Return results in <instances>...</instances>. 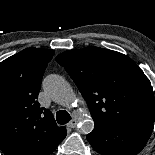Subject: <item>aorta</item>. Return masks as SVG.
I'll use <instances>...</instances> for the list:
<instances>
[{
  "label": "aorta",
  "mask_w": 155,
  "mask_h": 155,
  "mask_svg": "<svg viewBox=\"0 0 155 155\" xmlns=\"http://www.w3.org/2000/svg\"><path fill=\"white\" fill-rule=\"evenodd\" d=\"M44 90L58 104L71 107L75 102V94L68 82L56 74L48 75L43 82ZM78 128L83 134H89L94 129V121L90 116L82 118Z\"/></svg>",
  "instance_id": "aorta-1"
}]
</instances>
